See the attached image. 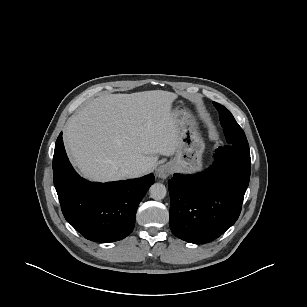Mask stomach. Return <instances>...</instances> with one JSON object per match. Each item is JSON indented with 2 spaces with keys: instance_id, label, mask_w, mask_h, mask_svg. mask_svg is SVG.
Wrapping results in <instances>:
<instances>
[{
  "instance_id": "stomach-1",
  "label": "stomach",
  "mask_w": 307,
  "mask_h": 307,
  "mask_svg": "<svg viewBox=\"0 0 307 307\" xmlns=\"http://www.w3.org/2000/svg\"><path fill=\"white\" fill-rule=\"evenodd\" d=\"M172 113L177 120L180 144L169 165L175 171L200 170L203 166L205 143L198 131V124L194 116L186 109L175 108Z\"/></svg>"
}]
</instances>
